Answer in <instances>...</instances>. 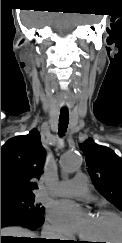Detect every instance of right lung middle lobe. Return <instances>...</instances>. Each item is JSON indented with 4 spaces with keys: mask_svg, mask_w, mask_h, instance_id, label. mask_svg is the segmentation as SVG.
Segmentation results:
<instances>
[{
    "mask_svg": "<svg viewBox=\"0 0 122 243\" xmlns=\"http://www.w3.org/2000/svg\"><path fill=\"white\" fill-rule=\"evenodd\" d=\"M34 197V195L3 197L1 198V207L16 208L36 215H43L44 208L40 204L34 203Z\"/></svg>",
    "mask_w": 122,
    "mask_h": 243,
    "instance_id": "1",
    "label": "right lung middle lobe"
}]
</instances>
